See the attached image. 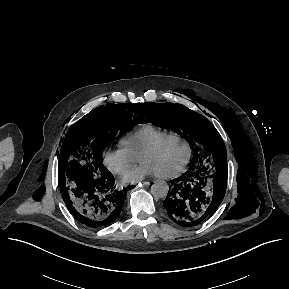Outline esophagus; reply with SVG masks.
Masks as SVG:
<instances>
[{
	"label": "esophagus",
	"instance_id": "34e87169",
	"mask_svg": "<svg viewBox=\"0 0 289 289\" xmlns=\"http://www.w3.org/2000/svg\"><path fill=\"white\" fill-rule=\"evenodd\" d=\"M139 184H141L142 186H149L150 182L149 181H141Z\"/></svg>",
	"mask_w": 289,
	"mask_h": 289
}]
</instances>
